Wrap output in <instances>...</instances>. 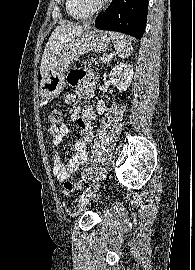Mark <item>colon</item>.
Segmentation results:
<instances>
[{
  "label": "colon",
  "instance_id": "5ec220e1",
  "mask_svg": "<svg viewBox=\"0 0 195 270\" xmlns=\"http://www.w3.org/2000/svg\"><path fill=\"white\" fill-rule=\"evenodd\" d=\"M62 120V112L59 109H53L47 118L49 126H57ZM64 188L66 191H73L79 188V185L74 180H65Z\"/></svg>",
  "mask_w": 195,
  "mask_h": 270
}]
</instances>
